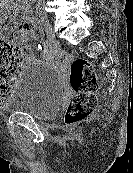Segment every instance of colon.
Returning a JSON list of instances; mask_svg holds the SVG:
<instances>
[{"label":"colon","instance_id":"obj_1","mask_svg":"<svg viewBox=\"0 0 133 173\" xmlns=\"http://www.w3.org/2000/svg\"><path fill=\"white\" fill-rule=\"evenodd\" d=\"M29 30L28 22L16 20L11 15L0 20V103L9 97L21 68L22 52L15 42ZM69 83L74 95L67 105L64 121L73 125L89 118L97 104L98 83L90 62L75 59L70 65Z\"/></svg>","mask_w":133,"mask_h":173}]
</instances>
